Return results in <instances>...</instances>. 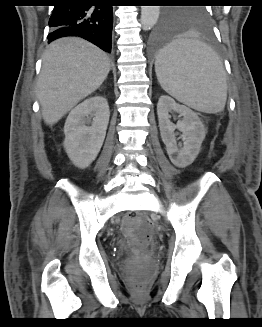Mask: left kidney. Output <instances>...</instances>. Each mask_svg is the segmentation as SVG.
Listing matches in <instances>:
<instances>
[{
	"mask_svg": "<svg viewBox=\"0 0 262 327\" xmlns=\"http://www.w3.org/2000/svg\"><path fill=\"white\" fill-rule=\"evenodd\" d=\"M174 111L183 116V119L173 125L170 121L169 112ZM157 114L162 141L171 162L185 168L193 163L200 152L201 144L205 139L206 129L195 113L185 105H180L167 95H162L157 104ZM175 129L183 133V147L178 148L175 137Z\"/></svg>",
	"mask_w": 262,
	"mask_h": 327,
	"instance_id": "obj_1",
	"label": "left kidney"
}]
</instances>
